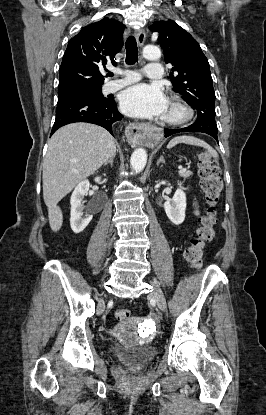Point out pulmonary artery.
<instances>
[{
  "instance_id": "pulmonary-artery-1",
  "label": "pulmonary artery",
  "mask_w": 266,
  "mask_h": 415,
  "mask_svg": "<svg viewBox=\"0 0 266 415\" xmlns=\"http://www.w3.org/2000/svg\"><path fill=\"white\" fill-rule=\"evenodd\" d=\"M124 75L122 79L110 81L106 85V90L108 92H114L122 87L133 83L139 79V75L134 71H124L121 72ZM145 74L148 78L151 79H160L163 74V67L160 63H149L145 67Z\"/></svg>"
}]
</instances>
